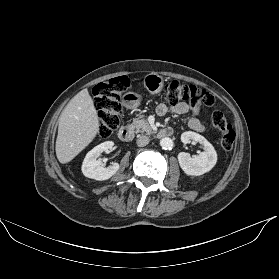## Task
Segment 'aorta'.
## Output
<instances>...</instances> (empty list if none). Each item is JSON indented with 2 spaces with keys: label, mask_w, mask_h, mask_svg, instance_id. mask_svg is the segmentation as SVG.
<instances>
[{
  "label": "aorta",
  "mask_w": 279,
  "mask_h": 279,
  "mask_svg": "<svg viewBox=\"0 0 279 279\" xmlns=\"http://www.w3.org/2000/svg\"><path fill=\"white\" fill-rule=\"evenodd\" d=\"M160 145L164 150H171L173 148L172 139L165 137L160 140Z\"/></svg>",
  "instance_id": "aorta-1"
}]
</instances>
